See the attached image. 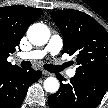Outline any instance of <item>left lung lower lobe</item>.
I'll return each instance as SVG.
<instances>
[{"label":"left lung lower lobe","mask_w":108,"mask_h":108,"mask_svg":"<svg viewBox=\"0 0 108 108\" xmlns=\"http://www.w3.org/2000/svg\"><path fill=\"white\" fill-rule=\"evenodd\" d=\"M56 76L60 89L48 97L49 108H96L108 90V73H76L68 84H62L61 75Z\"/></svg>","instance_id":"obj_1"}]
</instances>
